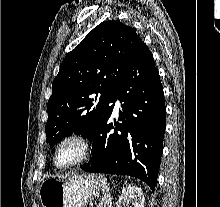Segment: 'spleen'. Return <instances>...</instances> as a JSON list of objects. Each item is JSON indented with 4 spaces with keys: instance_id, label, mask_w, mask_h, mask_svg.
<instances>
[{
    "instance_id": "3e777b00",
    "label": "spleen",
    "mask_w": 220,
    "mask_h": 207,
    "mask_svg": "<svg viewBox=\"0 0 220 207\" xmlns=\"http://www.w3.org/2000/svg\"><path fill=\"white\" fill-rule=\"evenodd\" d=\"M99 182L101 184L102 187V191H103V198L101 200V203L99 205V207H106V206H110L111 204V195H110V188L107 182V179L102 176L99 175Z\"/></svg>"
}]
</instances>
